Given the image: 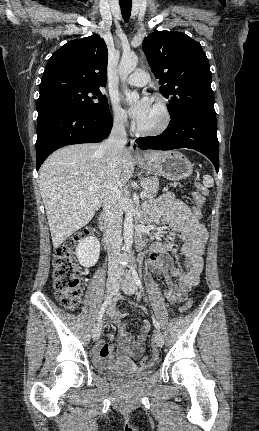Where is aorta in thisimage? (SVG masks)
<instances>
[{
  "instance_id": "762f6f07",
  "label": "aorta",
  "mask_w": 259,
  "mask_h": 431,
  "mask_svg": "<svg viewBox=\"0 0 259 431\" xmlns=\"http://www.w3.org/2000/svg\"><path fill=\"white\" fill-rule=\"evenodd\" d=\"M138 64V57L132 54H124L121 58L118 67V73L123 82L127 77L134 71ZM124 94L128 103H132L139 99V94L137 91H130L126 86H124ZM133 216L132 212L128 211L125 215L124 220V241L125 248L130 252L132 242H133Z\"/></svg>"
}]
</instances>
